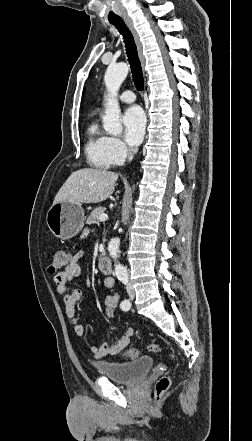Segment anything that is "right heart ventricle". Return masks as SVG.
<instances>
[{
    "instance_id": "1",
    "label": "right heart ventricle",
    "mask_w": 252,
    "mask_h": 441,
    "mask_svg": "<svg viewBox=\"0 0 252 441\" xmlns=\"http://www.w3.org/2000/svg\"><path fill=\"white\" fill-rule=\"evenodd\" d=\"M107 143L108 137L100 130L97 121L90 120L85 144V154L90 165L100 169H108L113 165Z\"/></svg>"
}]
</instances>
